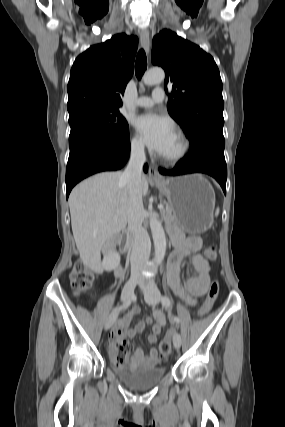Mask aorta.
I'll return each instance as SVG.
<instances>
[{
	"instance_id": "aorta-1",
	"label": "aorta",
	"mask_w": 285,
	"mask_h": 427,
	"mask_svg": "<svg viewBox=\"0 0 285 427\" xmlns=\"http://www.w3.org/2000/svg\"><path fill=\"white\" fill-rule=\"evenodd\" d=\"M165 73L161 68H152L143 76L145 85L151 86L160 84L164 81ZM150 228L154 241V257L155 262L160 265L166 253V236L161 222L157 218L150 219Z\"/></svg>"
}]
</instances>
